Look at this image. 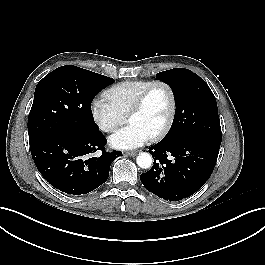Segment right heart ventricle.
<instances>
[{"instance_id": "e07e8e85", "label": "right heart ventricle", "mask_w": 265, "mask_h": 265, "mask_svg": "<svg viewBox=\"0 0 265 265\" xmlns=\"http://www.w3.org/2000/svg\"><path fill=\"white\" fill-rule=\"evenodd\" d=\"M151 82V80L123 81L108 88L104 96L114 108L126 117L138 95Z\"/></svg>"}]
</instances>
